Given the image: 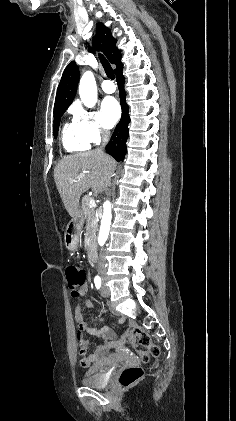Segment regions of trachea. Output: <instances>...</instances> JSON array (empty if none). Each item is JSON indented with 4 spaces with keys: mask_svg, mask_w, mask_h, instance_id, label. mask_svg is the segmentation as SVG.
Segmentation results:
<instances>
[{
    "mask_svg": "<svg viewBox=\"0 0 236 421\" xmlns=\"http://www.w3.org/2000/svg\"><path fill=\"white\" fill-rule=\"evenodd\" d=\"M99 59L102 63V66L106 72L107 77L110 78L111 80H114L115 74H114L113 68L111 67L109 62L106 60L104 55L99 54Z\"/></svg>",
    "mask_w": 236,
    "mask_h": 421,
    "instance_id": "3493384b",
    "label": "trachea"
}]
</instances>
